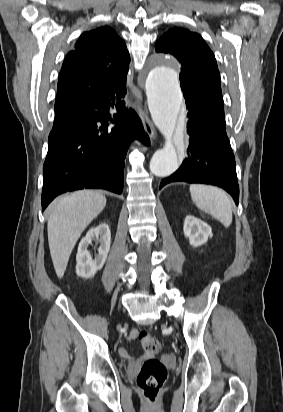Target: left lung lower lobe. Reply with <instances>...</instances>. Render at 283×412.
<instances>
[{
  "label": "left lung lower lobe",
  "mask_w": 283,
  "mask_h": 412,
  "mask_svg": "<svg viewBox=\"0 0 283 412\" xmlns=\"http://www.w3.org/2000/svg\"><path fill=\"white\" fill-rule=\"evenodd\" d=\"M190 136L187 157L180 168L163 179L160 189L172 182L205 183L219 186L239 200L235 157L226 134L225 118L209 116L187 103Z\"/></svg>",
  "instance_id": "0a47b994"
}]
</instances>
